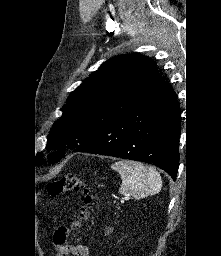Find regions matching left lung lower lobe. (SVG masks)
I'll list each match as a JSON object with an SVG mask.
<instances>
[{"label": "left lung lower lobe", "mask_w": 221, "mask_h": 256, "mask_svg": "<svg viewBox=\"0 0 221 256\" xmlns=\"http://www.w3.org/2000/svg\"><path fill=\"white\" fill-rule=\"evenodd\" d=\"M180 132L179 103L174 90L165 83L74 151L153 164L175 180Z\"/></svg>", "instance_id": "1"}]
</instances>
